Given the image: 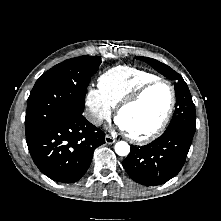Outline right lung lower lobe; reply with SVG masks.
Masks as SVG:
<instances>
[{
	"label": "right lung lower lobe",
	"mask_w": 221,
	"mask_h": 221,
	"mask_svg": "<svg viewBox=\"0 0 221 221\" xmlns=\"http://www.w3.org/2000/svg\"><path fill=\"white\" fill-rule=\"evenodd\" d=\"M105 133L83 115L53 121L26 139L39 170L52 180L78 181L87 171L94 149L105 143Z\"/></svg>",
	"instance_id": "obj_1"
}]
</instances>
